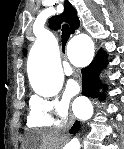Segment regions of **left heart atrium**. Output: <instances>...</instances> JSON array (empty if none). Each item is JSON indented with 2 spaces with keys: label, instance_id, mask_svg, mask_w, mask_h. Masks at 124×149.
Wrapping results in <instances>:
<instances>
[{
  "label": "left heart atrium",
  "instance_id": "obj_1",
  "mask_svg": "<svg viewBox=\"0 0 124 149\" xmlns=\"http://www.w3.org/2000/svg\"><path fill=\"white\" fill-rule=\"evenodd\" d=\"M78 89H79V85L76 82H72L69 86H68V93L71 95H75L78 93Z\"/></svg>",
  "mask_w": 124,
  "mask_h": 149
}]
</instances>
